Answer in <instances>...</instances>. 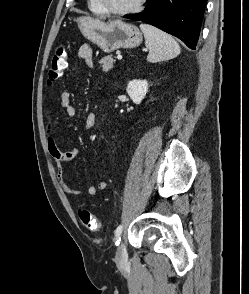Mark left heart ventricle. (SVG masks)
I'll list each match as a JSON object with an SVG mask.
<instances>
[{
    "label": "left heart ventricle",
    "mask_w": 249,
    "mask_h": 294,
    "mask_svg": "<svg viewBox=\"0 0 249 294\" xmlns=\"http://www.w3.org/2000/svg\"><path fill=\"white\" fill-rule=\"evenodd\" d=\"M137 0H103V3L112 9H125L132 6Z\"/></svg>",
    "instance_id": "b2bd125f"
}]
</instances>
